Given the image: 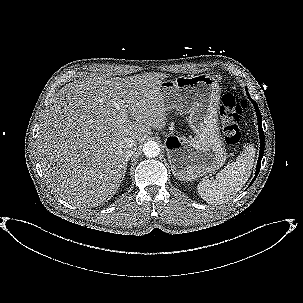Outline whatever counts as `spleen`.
<instances>
[{"instance_id": "spleen-1", "label": "spleen", "mask_w": 303, "mask_h": 303, "mask_svg": "<svg viewBox=\"0 0 303 303\" xmlns=\"http://www.w3.org/2000/svg\"><path fill=\"white\" fill-rule=\"evenodd\" d=\"M254 157L255 148L247 146L234 162L217 173L215 180L203 179L197 187L198 194L212 205L228 202L249 179Z\"/></svg>"}]
</instances>
